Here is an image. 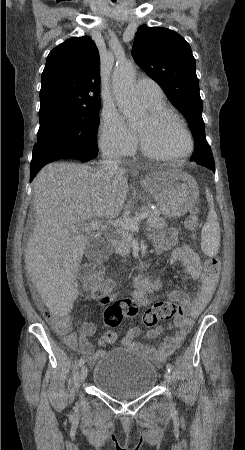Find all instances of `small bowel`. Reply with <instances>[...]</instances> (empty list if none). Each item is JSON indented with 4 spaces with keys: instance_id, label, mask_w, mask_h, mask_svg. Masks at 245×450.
<instances>
[{
    "instance_id": "small-bowel-1",
    "label": "small bowel",
    "mask_w": 245,
    "mask_h": 450,
    "mask_svg": "<svg viewBox=\"0 0 245 450\" xmlns=\"http://www.w3.org/2000/svg\"><path fill=\"white\" fill-rule=\"evenodd\" d=\"M152 239L157 255H162L172 250L169 260L170 264L181 263L190 277L200 281V289L193 297L186 294L180 288L173 289L167 294V298L170 301L182 304L184 318L182 321L173 320L169 322L165 328L158 326L146 332L148 338H155L164 329L173 331L171 335L163 339L157 348L138 341V338L142 335V331L139 328L130 330L121 340L123 346L127 348H140L157 363L161 364L181 345L192 329L194 320L201 315L207 306L217 285L218 275H212L204 271L203 262L199 254L189 245L179 243L175 229H166L160 233H155ZM100 279L101 284L97 287L89 288L84 285V292L94 300L105 301L115 298L116 296L113 294V290L116 288V283L104 280L103 274L100 275ZM162 286V279L151 280L147 277L139 276L131 293L134 304L140 309L148 308L151 303V298L157 294ZM96 331L97 325L95 323L85 322L78 332L65 335L62 341L69 348L73 350L78 349L81 353L87 355L89 361L92 362L105 353L103 349L94 351L92 344L88 340V337L94 335ZM106 344L108 342L105 340V337L101 336L98 339V345L105 346Z\"/></svg>"
}]
</instances>
